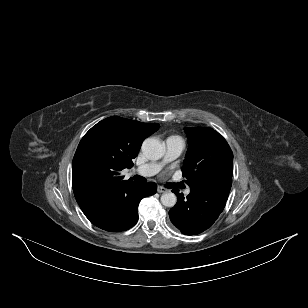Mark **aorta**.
Here are the masks:
<instances>
[{
    "label": "aorta",
    "instance_id": "1",
    "mask_svg": "<svg viewBox=\"0 0 308 308\" xmlns=\"http://www.w3.org/2000/svg\"><path fill=\"white\" fill-rule=\"evenodd\" d=\"M142 152L149 160H159L164 154L161 142L155 138H148L142 144ZM177 197L172 192H166L161 196V202L165 207H173Z\"/></svg>",
    "mask_w": 308,
    "mask_h": 308
}]
</instances>
